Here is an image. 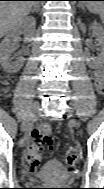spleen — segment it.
Segmentation results:
<instances>
[{
    "instance_id": "3e777b00",
    "label": "spleen",
    "mask_w": 104,
    "mask_h": 189,
    "mask_svg": "<svg viewBox=\"0 0 104 189\" xmlns=\"http://www.w3.org/2000/svg\"><path fill=\"white\" fill-rule=\"evenodd\" d=\"M87 9L93 13H100L103 11L102 1H86L84 2Z\"/></svg>"
}]
</instances>
